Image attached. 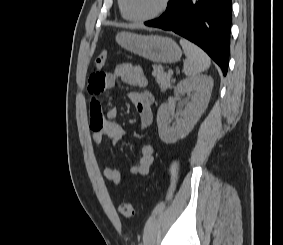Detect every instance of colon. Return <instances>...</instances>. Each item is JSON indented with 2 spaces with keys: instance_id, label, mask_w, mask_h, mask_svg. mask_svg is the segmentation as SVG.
<instances>
[{
  "instance_id": "1",
  "label": "colon",
  "mask_w": 283,
  "mask_h": 245,
  "mask_svg": "<svg viewBox=\"0 0 283 245\" xmlns=\"http://www.w3.org/2000/svg\"><path fill=\"white\" fill-rule=\"evenodd\" d=\"M108 59V52H101L93 61V67L102 68L106 65ZM121 215L125 218H131L134 215V206L130 201L122 202L119 206Z\"/></svg>"
}]
</instances>
